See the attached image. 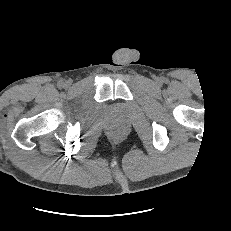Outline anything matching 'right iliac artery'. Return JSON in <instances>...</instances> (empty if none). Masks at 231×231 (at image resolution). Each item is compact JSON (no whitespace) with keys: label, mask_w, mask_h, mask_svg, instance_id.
I'll return each mask as SVG.
<instances>
[{"label":"right iliac artery","mask_w":231,"mask_h":231,"mask_svg":"<svg viewBox=\"0 0 231 231\" xmlns=\"http://www.w3.org/2000/svg\"><path fill=\"white\" fill-rule=\"evenodd\" d=\"M63 84H64L63 82H59L58 85H59V87H63Z\"/></svg>","instance_id":"obj_1"}]
</instances>
